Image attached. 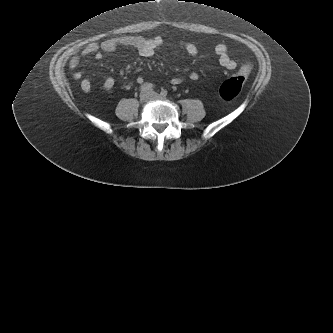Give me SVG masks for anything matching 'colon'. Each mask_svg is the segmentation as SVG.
Segmentation results:
<instances>
[{"instance_id": "1", "label": "colon", "mask_w": 333, "mask_h": 333, "mask_svg": "<svg viewBox=\"0 0 333 333\" xmlns=\"http://www.w3.org/2000/svg\"><path fill=\"white\" fill-rule=\"evenodd\" d=\"M251 68V64L247 62L242 66L238 74L224 81L219 88L220 96L225 100H232L238 96Z\"/></svg>"}]
</instances>
